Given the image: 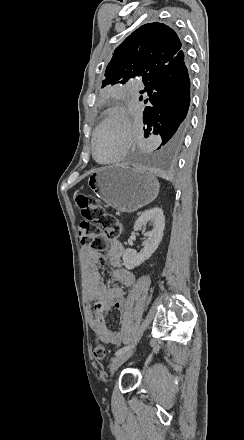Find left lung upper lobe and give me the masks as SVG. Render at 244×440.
<instances>
[{"instance_id": "left-lung-upper-lobe-1", "label": "left lung upper lobe", "mask_w": 244, "mask_h": 440, "mask_svg": "<svg viewBox=\"0 0 244 440\" xmlns=\"http://www.w3.org/2000/svg\"><path fill=\"white\" fill-rule=\"evenodd\" d=\"M183 60L182 43L172 28L157 22L142 25L115 49L102 88L135 77L146 85L162 68Z\"/></svg>"}]
</instances>
